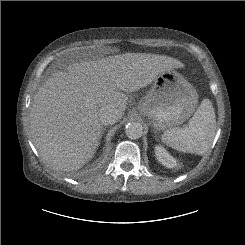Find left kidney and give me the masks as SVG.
<instances>
[{"instance_id":"left-kidney-1","label":"left kidney","mask_w":245,"mask_h":245,"mask_svg":"<svg viewBox=\"0 0 245 245\" xmlns=\"http://www.w3.org/2000/svg\"><path fill=\"white\" fill-rule=\"evenodd\" d=\"M155 155L157 160L167 168H173L177 165L176 160L162 147H155Z\"/></svg>"}]
</instances>
